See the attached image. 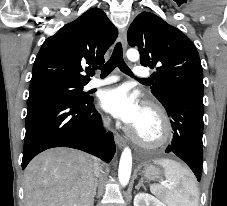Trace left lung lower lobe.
I'll return each instance as SVG.
<instances>
[{"instance_id": "1", "label": "left lung lower lobe", "mask_w": 227, "mask_h": 206, "mask_svg": "<svg viewBox=\"0 0 227 206\" xmlns=\"http://www.w3.org/2000/svg\"><path fill=\"white\" fill-rule=\"evenodd\" d=\"M171 118L173 140L165 150L185 161L200 181L203 163V98L177 95L162 104Z\"/></svg>"}]
</instances>
